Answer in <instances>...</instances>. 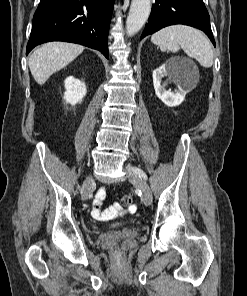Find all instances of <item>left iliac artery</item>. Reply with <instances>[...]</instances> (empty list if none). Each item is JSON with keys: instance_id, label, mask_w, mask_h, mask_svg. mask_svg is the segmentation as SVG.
<instances>
[{"instance_id": "obj_1", "label": "left iliac artery", "mask_w": 247, "mask_h": 296, "mask_svg": "<svg viewBox=\"0 0 247 296\" xmlns=\"http://www.w3.org/2000/svg\"><path fill=\"white\" fill-rule=\"evenodd\" d=\"M133 170L144 180H147V175L139 168L133 167Z\"/></svg>"}]
</instances>
